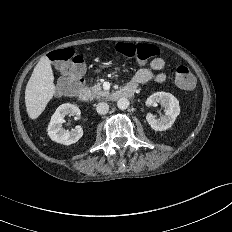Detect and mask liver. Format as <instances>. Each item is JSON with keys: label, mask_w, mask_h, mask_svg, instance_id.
<instances>
[{"label": "liver", "mask_w": 232, "mask_h": 232, "mask_svg": "<svg viewBox=\"0 0 232 232\" xmlns=\"http://www.w3.org/2000/svg\"><path fill=\"white\" fill-rule=\"evenodd\" d=\"M55 94L54 76L48 57H42L35 66L25 89L27 114L38 118Z\"/></svg>", "instance_id": "1"}]
</instances>
